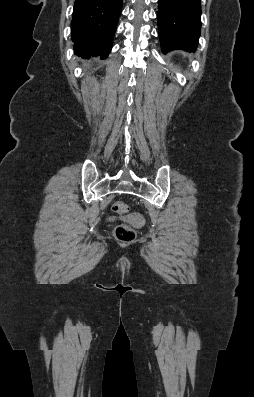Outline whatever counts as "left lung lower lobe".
Here are the masks:
<instances>
[{
	"label": "left lung lower lobe",
	"instance_id": "obj_1",
	"mask_svg": "<svg viewBox=\"0 0 254 397\" xmlns=\"http://www.w3.org/2000/svg\"><path fill=\"white\" fill-rule=\"evenodd\" d=\"M157 18L163 53L196 49L201 29L200 0H159Z\"/></svg>",
	"mask_w": 254,
	"mask_h": 397
}]
</instances>
